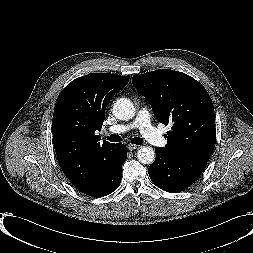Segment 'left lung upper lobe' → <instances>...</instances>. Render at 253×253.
<instances>
[{
  "instance_id": "5c2ea615",
  "label": "left lung upper lobe",
  "mask_w": 253,
  "mask_h": 253,
  "mask_svg": "<svg viewBox=\"0 0 253 253\" xmlns=\"http://www.w3.org/2000/svg\"><path fill=\"white\" fill-rule=\"evenodd\" d=\"M135 88L149 101L159 122L172 125L162 148L173 154L209 159L215 143V114L206 89L194 78L170 69L135 75Z\"/></svg>"
}]
</instances>
